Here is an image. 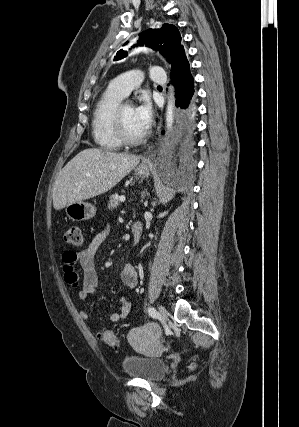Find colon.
<instances>
[{
    "label": "colon",
    "instance_id": "5ec220e1",
    "mask_svg": "<svg viewBox=\"0 0 299 427\" xmlns=\"http://www.w3.org/2000/svg\"><path fill=\"white\" fill-rule=\"evenodd\" d=\"M64 239L70 245L81 246L83 243L81 228L78 225L69 226L64 232ZM97 335L101 341L110 346L118 348L121 345V339L112 330L101 329Z\"/></svg>",
    "mask_w": 299,
    "mask_h": 427
}]
</instances>
